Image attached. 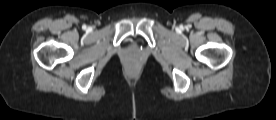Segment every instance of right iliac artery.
I'll return each instance as SVG.
<instances>
[{"instance_id":"right-iliac-artery-1","label":"right iliac artery","mask_w":276,"mask_h":120,"mask_svg":"<svg viewBox=\"0 0 276 120\" xmlns=\"http://www.w3.org/2000/svg\"><path fill=\"white\" fill-rule=\"evenodd\" d=\"M82 28H83V29H86V25H83Z\"/></svg>"}]
</instances>
